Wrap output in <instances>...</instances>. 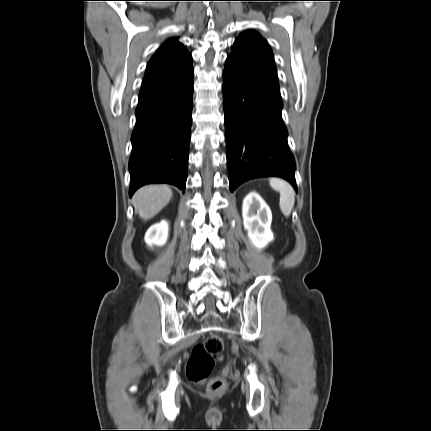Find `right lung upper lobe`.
Instances as JSON below:
<instances>
[{
  "mask_svg": "<svg viewBox=\"0 0 431 431\" xmlns=\"http://www.w3.org/2000/svg\"><path fill=\"white\" fill-rule=\"evenodd\" d=\"M193 76L192 57L177 39L166 41L148 63L138 104L161 97Z\"/></svg>",
  "mask_w": 431,
  "mask_h": 431,
  "instance_id": "obj_1",
  "label": "right lung upper lobe"
}]
</instances>
